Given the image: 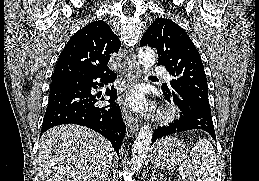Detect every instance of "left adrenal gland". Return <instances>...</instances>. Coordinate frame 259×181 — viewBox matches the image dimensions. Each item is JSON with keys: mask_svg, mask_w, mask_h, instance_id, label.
Instances as JSON below:
<instances>
[{"mask_svg": "<svg viewBox=\"0 0 259 181\" xmlns=\"http://www.w3.org/2000/svg\"><path fill=\"white\" fill-rule=\"evenodd\" d=\"M157 176H160L159 173L156 174V170L152 171V176H151V180L150 181H155Z\"/></svg>", "mask_w": 259, "mask_h": 181, "instance_id": "obj_1", "label": "left adrenal gland"}]
</instances>
